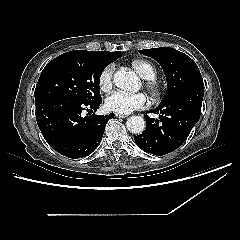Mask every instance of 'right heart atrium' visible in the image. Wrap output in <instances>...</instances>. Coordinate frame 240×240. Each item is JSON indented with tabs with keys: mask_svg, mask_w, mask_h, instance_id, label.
<instances>
[{
	"mask_svg": "<svg viewBox=\"0 0 240 240\" xmlns=\"http://www.w3.org/2000/svg\"><path fill=\"white\" fill-rule=\"evenodd\" d=\"M115 65L110 63L106 65L100 72L98 77V85L101 91L107 92L112 88Z\"/></svg>",
	"mask_w": 240,
	"mask_h": 240,
	"instance_id": "1",
	"label": "right heart atrium"
}]
</instances>
